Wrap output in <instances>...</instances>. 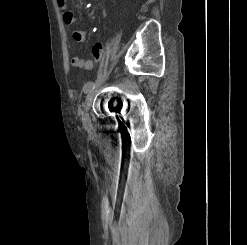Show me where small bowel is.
Returning a JSON list of instances; mask_svg holds the SVG:
<instances>
[{
    "label": "small bowel",
    "instance_id": "obj_1",
    "mask_svg": "<svg viewBox=\"0 0 247 245\" xmlns=\"http://www.w3.org/2000/svg\"><path fill=\"white\" fill-rule=\"evenodd\" d=\"M57 5L63 10L62 17L63 21L70 25L75 22V16L72 11L67 9V0H56ZM87 34L85 31L76 30L73 32V39L77 42H82L86 39ZM94 59H81L78 56L74 55L71 58V63L75 67L83 68V69H92L94 63L101 58L102 55V45L95 44L92 49Z\"/></svg>",
    "mask_w": 247,
    "mask_h": 245
}]
</instances>
